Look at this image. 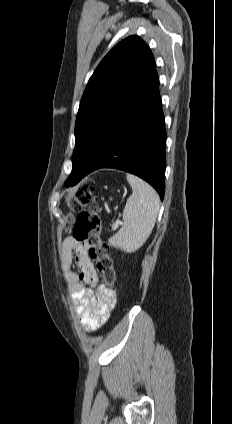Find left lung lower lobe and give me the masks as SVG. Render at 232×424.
Returning <instances> with one entry per match:
<instances>
[{
    "mask_svg": "<svg viewBox=\"0 0 232 424\" xmlns=\"http://www.w3.org/2000/svg\"><path fill=\"white\" fill-rule=\"evenodd\" d=\"M165 142L159 80L154 70L105 130L82 176L69 177L65 186H74L99 168H116L147 181L163 200Z\"/></svg>",
    "mask_w": 232,
    "mask_h": 424,
    "instance_id": "obj_1",
    "label": "left lung lower lobe"
}]
</instances>
